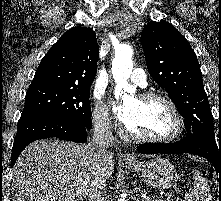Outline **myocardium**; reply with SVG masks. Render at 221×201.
I'll use <instances>...</instances> for the list:
<instances>
[{
	"label": "myocardium",
	"instance_id": "obj_1",
	"mask_svg": "<svg viewBox=\"0 0 221 201\" xmlns=\"http://www.w3.org/2000/svg\"><path fill=\"white\" fill-rule=\"evenodd\" d=\"M136 98L140 101H150V100H159L163 102L167 108L170 110L174 121H175V128L172 134L164 137H152V136H144L136 134L130 131L124 123L121 121L120 123V130L128 137L142 142H150V143H169L176 140L183 131V120L182 117L172 100H170L167 96L156 93V92H144L140 93L136 96Z\"/></svg>",
	"mask_w": 221,
	"mask_h": 201
}]
</instances>
